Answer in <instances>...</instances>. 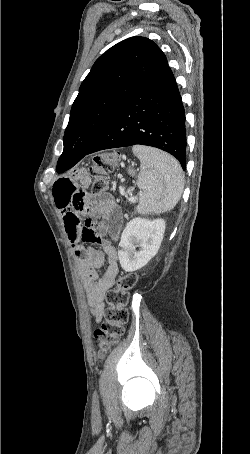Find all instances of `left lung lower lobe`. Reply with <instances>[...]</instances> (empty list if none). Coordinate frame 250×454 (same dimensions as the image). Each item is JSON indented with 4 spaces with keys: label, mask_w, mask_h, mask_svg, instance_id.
Listing matches in <instances>:
<instances>
[{
    "label": "left lung lower lobe",
    "mask_w": 250,
    "mask_h": 454,
    "mask_svg": "<svg viewBox=\"0 0 250 454\" xmlns=\"http://www.w3.org/2000/svg\"><path fill=\"white\" fill-rule=\"evenodd\" d=\"M136 144L172 154L185 170V113L167 64L112 116L84 155L62 154L56 171L62 173L72 168L85 155Z\"/></svg>",
    "instance_id": "obj_1"
}]
</instances>
